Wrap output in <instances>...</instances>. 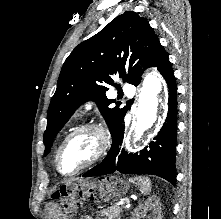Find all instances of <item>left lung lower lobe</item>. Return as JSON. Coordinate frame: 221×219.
<instances>
[{
    "instance_id": "left-lung-lower-lobe-1",
    "label": "left lung lower lobe",
    "mask_w": 221,
    "mask_h": 219,
    "mask_svg": "<svg viewBox=\"0 0 221 219\" xmlns=\"http://www.w3.org/2000/svg\"><path fill=\"white\" fill-rule=\"evenodd\" d=\"M157 67L168 87V114L154 141L137 153L121 148L124 136V120L112 135L113 144L105 159L83 174V177L102 176L115 172L123 174H151L176 184V133H177V88L174 72L163 46L155 51L149 67Z\"/></svg>"
}]
</instances>
